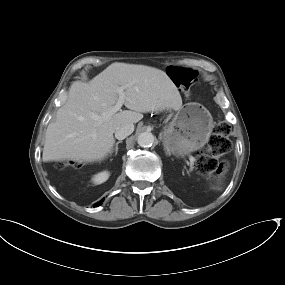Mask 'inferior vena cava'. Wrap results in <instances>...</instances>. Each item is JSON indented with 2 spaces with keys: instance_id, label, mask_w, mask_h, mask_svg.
I'll list each match as a JSON object with an SVG mask.
<instances>
[{
  "instance_id": "602c4592",
  "label": "inferior vena cava",
  "mask_w": 285,
  "mask_h": 285,
  "mask_svg": "<svg viewBox=\"0 0 285 285\" xmlns=\"http://www.w3.org/2000/svg\"><path fill=\"white\" fill-rule=\"evenodd\" d=\"M134 131V125L132 123H125L116 128L115 137L119 140L125 139Z\"/></svg>"
}]
</instances>
